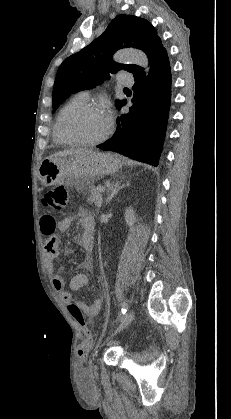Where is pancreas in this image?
<instances>
[{
	"instance_id": "obj_1",
	"label": "pancreas",
	"mask_w": 231,
	"mask_h": 419,
	"mask_svg": "<svg viewBox=\"0 0 231 419\" xmlns=\"http://www.w3.org/2000/svg\"><path fill=\"white\" fill-rule=\"evenodd\" d=\"M102 197L103 195L99 191V187H91L90 197L87 199V202L90 204H94L96 207L100 208L102 205Z\"/></svg>"
}]
</instances>
